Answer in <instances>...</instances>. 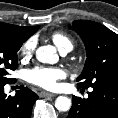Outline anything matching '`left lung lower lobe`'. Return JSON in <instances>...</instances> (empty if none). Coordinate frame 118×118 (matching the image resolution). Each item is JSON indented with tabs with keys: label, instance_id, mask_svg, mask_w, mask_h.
<instances>
[{
	"label": "left lung lower lobe",
	"instance_id": "obj_1",
	"mask_svg": "<svg viewBox=\"0 0 118 118\" xmlns=\"http://www.w3.org/2000/svg\"><path fill=\"white\" fill-rule=\"evenodd\" d=\"M67 118H118V87H94L87 99L73 96Z\"/></svg>",
	"mask_w": 118,
	"mask_h": 118
}]
</instances>
